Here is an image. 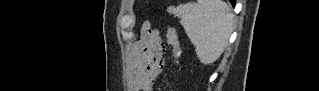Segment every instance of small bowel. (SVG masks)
I'll use <instances>...</instances> for the list:
<instances>
[{
    "mask_svg": "<svg viewBox=\"0 0 319 91\" xmlns=\"http://www.w3.org/2000/svg\"><path fill=\"white\" fill-rule=\"evenodd\" d=\"M148 52L154 53L152 65L146 66L144 58ZM165 45L157 30L146 28L143 38L132 46L133 90H149L157 82L165 65Z\"/></svg>",
    "mask_w": 319,
    "mask_h": 91,
    "instance_id": "obj_1",
    "label": "small bowel"
}]
</instances>
